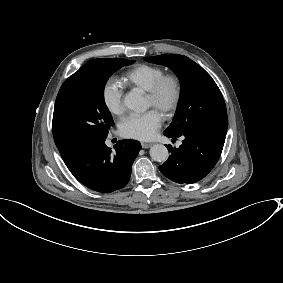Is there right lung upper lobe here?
Returning a JSON list of instances; mask_svg holds the SVG:
<instances>
[{"instance_id":"1","label":"right lung upper lobe","mask_w":283,"mask_h":283,"mask_svg":"<svg viewBox=\"0 0 283 283\" xmlns=\"http://www.w3.org/2000/svg\"><path fill=\"white\" fill-rule=\"evenodd\" d=\"M57 146H58V149L60 151V154H61L63 160L70 158L71 156H73L75 153H77L80 150V149L62 147V146H59V145H57Z\"/></svg>"}]
</instances>
